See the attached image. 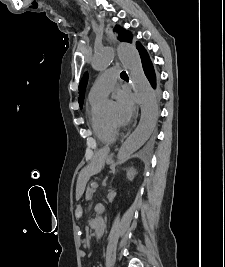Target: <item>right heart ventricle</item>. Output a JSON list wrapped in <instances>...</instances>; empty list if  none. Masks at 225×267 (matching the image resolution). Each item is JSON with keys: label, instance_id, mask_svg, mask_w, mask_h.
Here are the masks:
<instances>
[{"label": "right heart ventricle", "instance_id": "right-heart-ventricle-1", "mask_svg": "<svg viewBox=\"0 0 225 267\" xmlns=\"http://www.w3.org/2000/svg\"><path fill=\"white\" fill-rule=\"evenodd\" d=\"M101 100L89 99V122L91 129L96 138L102 143H112L116 138V131L107 120L98 112L99 103Z\"/></svg>", "mask_w": 225, "mask_h": 267}]
</instances>
